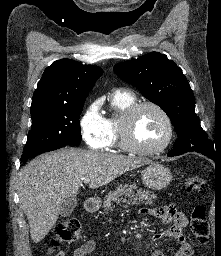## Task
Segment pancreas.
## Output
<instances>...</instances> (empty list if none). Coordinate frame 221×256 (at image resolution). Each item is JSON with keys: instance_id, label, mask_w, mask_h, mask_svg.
Returning <instances> with one entry per match:
<instances>
[{"instance_id": "cf45deb5", "label": "pancreas", "mask_w": 221, "mask_h": 256, "mask_svg": "<svg viewBox=\"0 0 221 256\" xmlns=\"http://www.w3.org/2000/svg\"><path fill=\"white\" fill-rule=\"evenodd\" d=\"M154 195L150 191L137 189L133 185H119L116 190L105 196L103 203L104 212L112 211L114 205L112 202L119 204L121 201L127 204H152Z\"/></svg>"}]
</instances>
